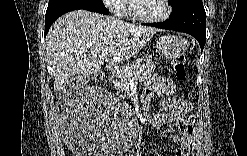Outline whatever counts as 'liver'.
Returning a JSON list of instances; mask_svg holds the SVG:
<instances>
[{
	"instance_id": "obj_1",
	"label": "liver",
	"mask_w": 247,
	"mask_h": 156,
	"mask_svg": "<svg viewBox=\"0 0 247 156\" xmlns=\"http://www.w3.org/2000/svg\"><path fill=\"white\" fill-rule=\"evenodd\" d=\"M158 31L86 10L66 13L46 37V51L55 74L54 90L60 91L73 76L98 72L104 61L129 59Z\"/></svg>"
}]
</instances>
